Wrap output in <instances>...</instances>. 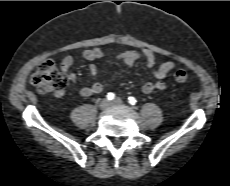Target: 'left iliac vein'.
I'll return each mask as SVG.
<instances>
[{"mask_svg": "<svg viewBox=\"0 0 230 186\" xmlns=\"http://www.w3.org/2000/svg\"><path fill=\"white\" fill-rule=\"evenodd\" d=\"M123 101L120 98H116L111 102V105H122Z\"/></svg>", "mask_w": 230, "mask_h": 186, "instance_id": "obj_1", "label": "left iliac vein"}]
</instances>
